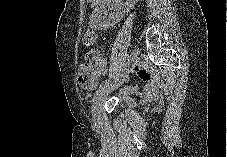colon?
<instances>
[{"instance_id":"obj_1","label":"colon","mask_w":227,"mask_h":157,"mask_svg":"<svg viewBox=\"0 0 227 157\" xmlns=\"http://www.w3.org/2000/svg\"><path fill=\"white\" fill-rule=\"evenodd\" d=\"M98 39L97 32L87 28L83 32V43L92 46ZM101 49L86 52L80 64L79 81L83 87H90L94 80V71L101 60Z\"/></svg>"}]
</instances>
